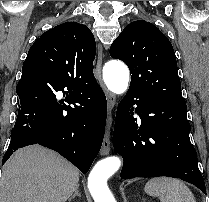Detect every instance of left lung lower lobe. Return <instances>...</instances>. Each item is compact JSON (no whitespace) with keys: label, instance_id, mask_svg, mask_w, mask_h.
<instances>
[{"label":"left lung lower lobe","instance_id":"obj_1","mask_svg":"<svg viewBox=\"0 0 209 202\" xmlns=\"http://www.w3.org/2000/svg\"><path fill=\"white\" fill-rule=\"evenodd\" d=\"M134 104L140 127L131 116ZM189 133L186 104L157 101L128 91L118 105L113 133L114 149L124 159L121 178H180L206 194Z\"/></svg>","mask_w":209,"mask_h":202}]
</instances>
